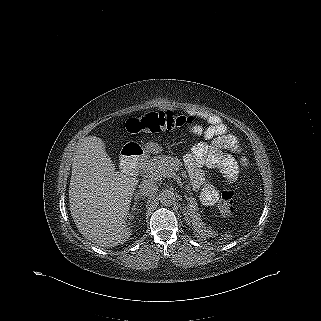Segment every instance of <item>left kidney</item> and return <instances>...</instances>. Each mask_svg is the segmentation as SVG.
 <instances>
[{
  "mask_svg": "<svg viewBox=\"0 0 321 321\" xmlns=\"http://www.w3.org/2000/svg\"><path fill=\"white\" fill-rule=\"evenodd\" d=\"M192 218V225L194 226V228H196L197 232L204 236L207 235L209 233V230L206 229V227L204 226L203 222L200 220L199 217L193 216L191 215Z\"/></svg>",
  "mask_w": 321,
  "mask_h": 321,
  "instance_id": "5707ae66",
  "label": "left kidney"
}]
</instances>
